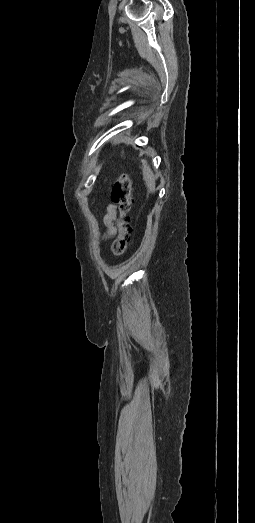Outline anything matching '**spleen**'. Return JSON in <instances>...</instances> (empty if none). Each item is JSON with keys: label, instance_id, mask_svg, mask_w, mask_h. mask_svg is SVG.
Masks as SVG:
<instances>
[{"label": "spleen", "instance_id": "obj_1", "mask_svg": "<svg viewBox=\"0 0 255 523\" xmlns=\"http://www.w3.org/2000/svg\"><path fill=\"white\" fill-rule=\"evenodd\" d=\"M142 168H143V180L146 182L147 188H149V192H155V180H154V174L152 170H150L146 160H142Z\"/></svg>", "mask_w": 255, "mask_h": 523}]
</instances>
